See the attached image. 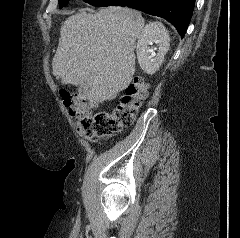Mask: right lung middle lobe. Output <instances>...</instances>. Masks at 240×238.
Returning <instances> with one entry per match:
<instances>
[{"mask_svg":"<svg viewBox=\"0 0 240 238\" xmlns=\"http://www.w3.org/2000/svg\"><path fill=\"white\" fill-rule=\"evenodd\" d=\"M68 1L69 0H59V8H62L64 7L65 5L68 4ZM84 2H87L91 5H95V3L98 1V0H83Z\"/></svg>","mask_w":240,"mask_h":238,"instance_id":"right-lung-middle-lobe-1","label":"right lung middle lobe"}]
</instances>
